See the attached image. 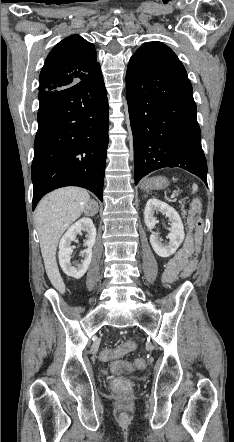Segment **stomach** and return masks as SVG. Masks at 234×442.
Listing matches in <instances>:
<instances>
[{"mask_svg": "<svg viewBox=\"0 0 234 442\" xmlns=\"http://www.w3.org/2000/svg\"><path fill=\"white\" fill-rule=\"evenodd\" d=\"M168 185V181L165 177H154V178H150L145 180L142 185L141 188L144 190H157V189H162L164 187H166Z\"/></svg>", "mask_w": 234, "mask_h": 442, "instance_id": "obj_1", "label": "stomach"}]
</instances>
